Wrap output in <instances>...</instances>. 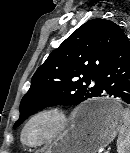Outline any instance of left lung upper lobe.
Masks as SVG:
<instances>
[{
    "label": "left lung upper lobe",
    "mask_w": 130,
    "mask_h": 153,
    "mask_svg": "<svg viewBox=\"0 0 130 153\" xmlns=\"http://www.w3.org/2000/svg\"><path fill=\"white\" fill-rule=\"evenodd\" d=\"M122 33L117 24L100 18L75 30L33 75L14 128L48 106L76 105L97 97L100 73Z\"/></svg>",
    "instance_id": "1"
}]
</instances>
